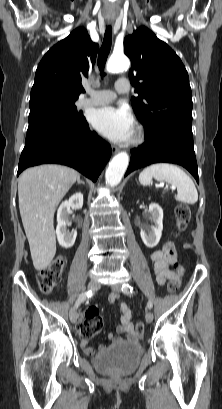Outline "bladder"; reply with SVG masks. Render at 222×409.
Here are the masks:
<instances>
[{"mask_svg":"<svg viewBox=\"0 0 222 409\" xmlns=\"http://www.w3.org/2000/svg\"><path fill=\"white\" fill-rule=\"evenodd\" d=\"M144 354V347L136 342H124L113 345L96 354L94 367L107 374H129L133 372Z\"/></svg>","mask_w":222,"mask_h":409,"instance_id":"1","label":"bladder"}]
</instances>
